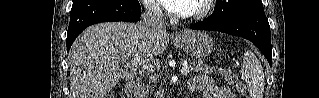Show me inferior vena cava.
<instances>
[{
  "instance_id": "obj_1",
  "label": "inferior vena cava",
  "mask_w": 319,
  "mask_h": 98,
  "mask_svg": "<svg viewBox=\"0 0 319 98\" xmlns=\"http://www.w3.org/2000/svg\"><path fill=\"white\" fill-rule=\"evenodd\" d=\"M145 12L141 16V26L143 32L152 35L154 37H161L166 35V26L162 9L151 0L144 1ZM158 75L155 73L152 76L153 80H156ZM154 98H164V90L162 86H159L154 94Z\"/></svg>"
}]
</instances>
